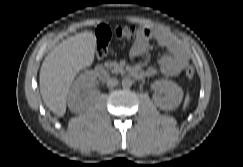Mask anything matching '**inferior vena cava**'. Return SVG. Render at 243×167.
Here are the masks:
<instances>
[{"mask_svg": "<svg viewBox=\"0 0 243 167\" xmlns=\"http://www.w3.org/2000/svg\"><path fill=\"white\" fill-rule=\"evenodd\" d=\"M118 84V80L116 78H109L107 80V86L108 87H114Z\"/></svg>", "mask_w": 243, "mask_h": 167, "instance_id": "1", "label": "inferior vena cava"}]
</instances>
